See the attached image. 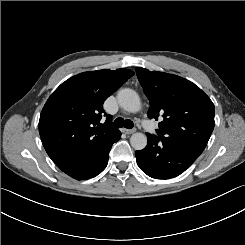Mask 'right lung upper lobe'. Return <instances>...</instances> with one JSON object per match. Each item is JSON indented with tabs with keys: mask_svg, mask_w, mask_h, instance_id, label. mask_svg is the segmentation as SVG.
<instances>
[{
	"mask_svg": "<svg viewBox=\"0 0 245 245\" xmlns=\"http://www.w3.org/2000/svg\"><path fill=\"white\" fill-rule=\"evenodd\" d=\"M133 75L132 70L125 68L84 72L54 91L42 109L39 133L47 154L57 166L118 131L111 128V116L104 112L103 102ZM102 113L108 124L100 123Z\"/></svg>",
	"mask_w": 245,
	"mask_h": 245,
	"instance_id": "right-lung-upper-lobe-1",
	"label": "right lung upper lobe"
}]
</instances>
